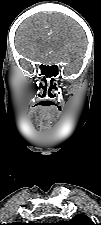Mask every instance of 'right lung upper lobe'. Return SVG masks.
I'll return each mask as SVG.
<instances>
[{
  "mask_svg": "<svg viewBox=\"0 0 101 225\" xmlns=\"http://www.w3.org/2000/svg\"><path fill=\"white\" fill-rule=\"evenodd\" d=\"M9 225H38V224L33 223V222H30L28 224H24V223H20V222H14V223H11Z\"/></svg>",
  "mask_w": 101,
  "mask_h": 225,
  "instance_id": "1",
  "label": "right lung upper lobe"
}]
</instances>
